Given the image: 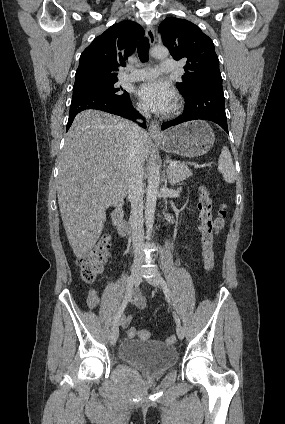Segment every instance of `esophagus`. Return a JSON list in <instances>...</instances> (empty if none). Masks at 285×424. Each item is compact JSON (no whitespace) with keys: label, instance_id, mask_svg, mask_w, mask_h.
<instances>
[{"label":"esophagus","instance_id":"1","mask_svg":"<svg viewBox=\"0 0 285 424\" xmlns=\"http://www.w3.org/2000/svg\"><path fill=\"white\" fill-rule=\"evenodd\" d=\"M146 36L149 39L150 45L153 46L155 44V33L152 25H147L146 27ZM149 134L153 137H161L162 133L160 130L159 123L157 121H151L149 123L148 128Z\"/></svg>","mask_w":285,"mask_h":424}]
</instances>
